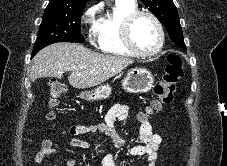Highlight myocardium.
I'll return each instance as SVG.
<instances>
[{
  "mask_svg": "<svg viewBox=\"0 0 227 166\" xmlns=\"http://www.w3.org/2000/svg\"><path fill=\"white\" fill-rule=\"evenodd\" d=\"M142 16L150 18L158 31V42L154 49L150 51H143L139 49L132 38V28L134 23ZM121 38L126 48L134 55L139 57H151L157 55L164 45V30L159 19L151 12L148 11H136L128 15L121 26Z\"/></svg>",
  "mask_w": 227,
  "mask_h": 166,
  "instance_id": "myocardium-1",
  "label": "myocardium"
}]
</instances>
